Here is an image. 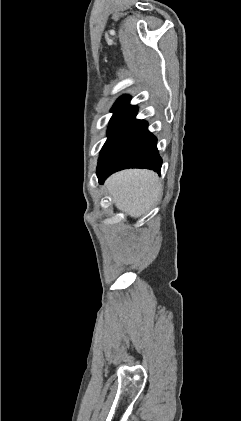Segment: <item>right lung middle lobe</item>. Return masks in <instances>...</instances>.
<instances>
[{"label":"right lung middle lobe","instance_id":"dd1d6c3e","mask_svg":"<svg viewBox=\"0 0 241 421\" xmlns=\"http://www.w3.org/2000/svg\"><path fill=\"white\" fill-rule=\"evenodd\" d=\"M131 111H132L131 106L112 108V112H114V114L110 120V124L108 127V139L101 150L100 158L105 153V151L110 146V144L113 142V140L118 135V133L120 132L125 121L128 119Z\"/></svg>","mask_w":241,"mask_h":421}]
</instances>
